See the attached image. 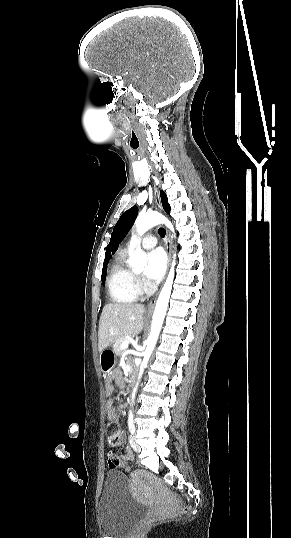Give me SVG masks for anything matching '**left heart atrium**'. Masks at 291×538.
<instances>
[{"label":"left heart atrium","instance_id":"obj_1","mask_svg":"<svg viewBox=\"0 0 291 538\" xmlns=\"http://www.w3.org/2000/svg\"><path fill=\"white\" fill-rule=\"evenodd\" d=\"M166 262V256L161 249H154L149 252L147 268L144 273V280L148 285H153L162 278Z\"/></svg>","mask_w":291,"mask_h":538}]
</instances>
